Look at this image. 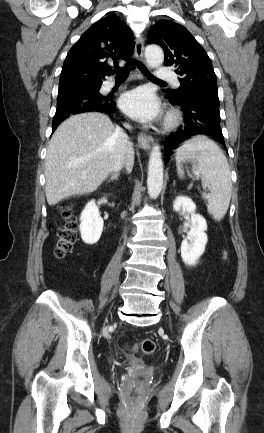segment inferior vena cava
Instances as JSON below:
<instances>
[{
    "label": "inferior vena cava",
    "mask_w": 264,
    "mask_h": 433,
    "mask_svg": "<svg viewBox=\"0 0 264 433\" xmlns=\"http://www.w3.org/2000/svg\"><path fill=\"white\" fill-rule=\"evenodd\" d=\"M128 130L131 126L127 123L123 124ZM114 136L116 138V154L113 157L114 163L111 168L112 171H119L126 164V155L129 151L130 141L127 133L121 127H116Z\"/></svg>",
    "instance_id": "obj_1"
}]
</instances>
